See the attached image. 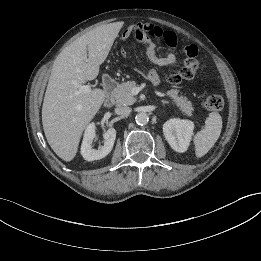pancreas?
I'll return each mask as SVG.
<instances>
[{
    "label": "pancreas",
    "instance_id": "pancreas-1",
    "mask_svg": "<svg viewBox=\"0 0 261 261\" xmlns=\"http://www.w3.org/2000/svg\"><path fill=\"white\" fill-rule=\"evenodd\" d=\"M136 87L135 81H127L118 85L114 92L115 102L118 106L132 105L137 100L132 94V89ZM167 95L173 99L176 106L187 116H192L194 108L192 103L183 95H179L177 89L167 91Z\"/></svg>",
    "mask_w": 261,
    "mask_h": 261
}]
</instances>
